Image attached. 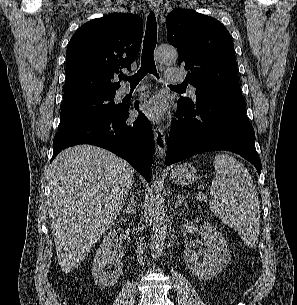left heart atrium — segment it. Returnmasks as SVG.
Masks as SVG:
<instances>
[{
	"instance_id": "left-heart-atrium-1",
	"label": "left heart atrium",
	"mask_w": 297,
	"mask_h": 305,
	"mask_svg": "<svg viewBox=\"0 0 297 305\" xmlns=\"http://www.w3.org/2000/svg\"><path fill=\"white\" fill-rule=\"evenodd\" d=\"M165 111L164 101L159 96H154L145 101L139 108V113L147 119L157 122L162 119Z\"/></svg>"
}]
</instances>
